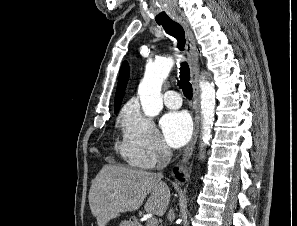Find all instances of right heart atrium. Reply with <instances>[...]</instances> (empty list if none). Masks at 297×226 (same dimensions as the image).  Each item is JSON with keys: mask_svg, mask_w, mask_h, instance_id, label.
<instances>
[{"mask_svg": "<svg viewBox=\"0 0 297 226\" xmlns=\"http://www.w3.org/2000/svg\"><path fill=\"white\" fill-rule=\"evenodd\" d=\"M122 141L120 154L134 167L152 169L166 162L171 151L163 141L154 122L130 105L121 119Z\"/></svg>", "mask_w": 297, "mask_h": 226, "instance_id": "1", "label": "right heart atrium"}]
</instances>
